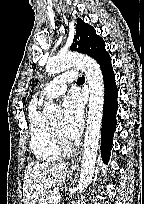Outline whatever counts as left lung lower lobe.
Returning <instances> with one entry per match:
<instances>
[{"label":"left lung lower lobe","instance_id":"obj_1","mask_svg":"<svg viewBox=\"0 0 144 204\" xmlns=\"http://www.w3.org/2000/svg\"><path fill=\"white\" fill-rule=\"evenodd\" d=\"M99 65L102 70L105 98L102 118V133H101V156L107 164L110 151L113 144V135L116 130V113L118 109V89L115 83V75L111 65L109 56L101 59Z\"/></svg>","mask_w":144,"mask_h":204}]
</instances>
